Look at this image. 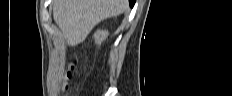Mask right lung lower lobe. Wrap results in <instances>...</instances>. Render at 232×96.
Returning <instances> with one entry per match:
<instances>
[{"instance_id": "right-lung-lower-lobe-1", "label": "right lung lower lobe", "mask_w": 232, "mask_h": 96, "mask_svg": "<svg viewBox=\"0 0 232 96\" xmlns=\"http://www.w3.org/2000/svg\"><path fill=\"white\" fill-rule=\"evenodd\" d=\"M130 7H133L135 4V0H129Z\"/></svg>"}]
</instances>
